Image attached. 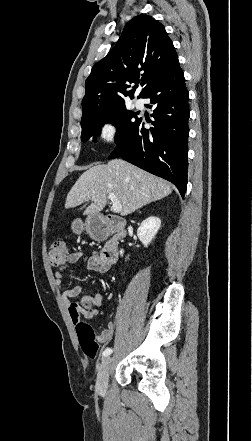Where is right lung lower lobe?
<instances>
[{
	"label": "right lung lower lobe",
	"mask_w": 252,
	"mask_h": 441,
	"mask_svg": "<svg viewBox=\"0 0 252 441\" xmlns=\"http://www.w3.org/2000/svg\"><path fill=\"white\" fill-rule=\"evenodd\" d=\"M143 98L153 107V128L138 118L128 136L109 159L124 160L176 185L182 197L187 187L189 94L177 60Z\"/></svg>",
	"instance_id": "obj_1"
}]
</instances>
